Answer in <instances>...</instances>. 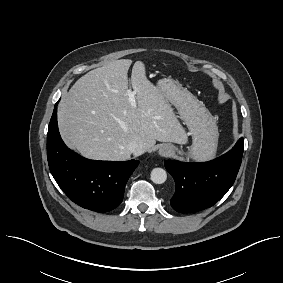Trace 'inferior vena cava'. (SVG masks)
Segmentation results:
<instances>
[{
  "instance_id": "602c4592",
  "label": "inferior vena cava",
  "mask_w": 283,
  "mask_h": 283,
  "mask_svg": "<svg viewBox=\"0 0 283 283\" xmlns=\"http://www.w3.org/2000/svg\"><path fill=\"white\" fill-rule=\"evenodd\" d=\"M128 150L136 156L145 152L144 147L135 141L128 144Z\"/></svg>"
}]
</instances>
